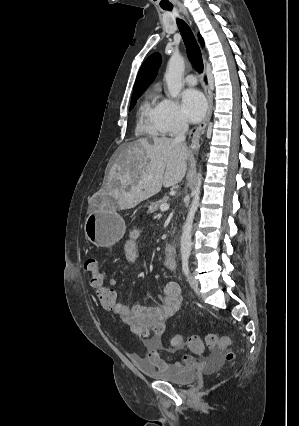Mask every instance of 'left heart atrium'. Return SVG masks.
I'll use <instances>...</instances> for the list:
<instances>
[{
  "mask_svg": "<svg viewBox=\"0 0 299 426\" xmlns=\"http://www.w3.org/2000/svg\"><path fill=\"white\" fill-rule=\"evenodd\" d=\"M206 109V100L200 91L187 89L182 93V110L187 120L193 123L200 121Z\"/></svg>",
  "mask_w": 299,
  "mask_h": 426,
  "instance_id": "39dd6f15",
  "label": "left heart atrium"
}]
</instances>
